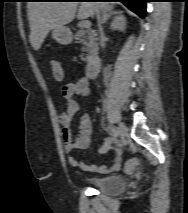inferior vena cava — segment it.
<instances>
[{"label":"inferior vena cava","instance_id":"602c4592","mask_svg":"<svg viewBox=\"0 0 188 213\" xmlns=\"http://www.w3.org/2000/svg\"><path fill=\"white\" fill-rule=\"evenodd\" d=\"M96 16H97V20H98V26H99V29L101 32V46H102V48H104L105 47V37H104L103 29L101 26L102 22H101V11L100 10L96 11Z\"/></svg>","mask_w":188,"mask_h":213}]
</instances>
